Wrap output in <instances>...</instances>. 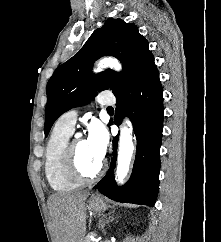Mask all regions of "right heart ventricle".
<instances>
[{
  "label": "right heart ventricle",
  "instance_id": "right-heart-ventricle-1",
  "mask_svg": "<svg viewBox=\"0 0 221 242\" xmlns=\"http://www.w3.org/2000/svg\"><path fill=\"white\" fill-rule=\"evenodd\" d=\"M70 135L71 132L55 125L45 148V177L50 187L57 192H69L81 185L67 174L65 168V154Z\"/></svg>",
  "mask_w": 221,
  "mask_h": 242
}]
</instances>
